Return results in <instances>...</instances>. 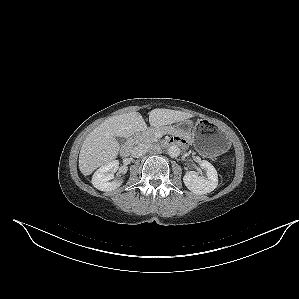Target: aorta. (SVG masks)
<instances>
[{"mask_svg":"<svg viewBox=\"0 0 299 299\" xmlns=\"http://www.w3.org/2000/svg\"><path fill=\"white\" fill-rule=\"evenodd\" d=\"M168 154L170 157L176 158L180 154V148L177 145H171L168 148Z\"/></svg>","mask_w":299,"mask_h":299,"instance_id":"1","label":"aorta"}]
</instances>
